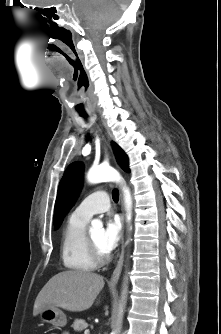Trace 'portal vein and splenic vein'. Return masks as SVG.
<instances>
[{
  "label": "portal vein and splenic vein",
  "mask_w": 221,
  "mask_h": 334,
  "mask_svg": "<svg viewBox=\"0 0 221 334\" xmlns=\"http://www.w3.org/2000/svg\"><path fill=\"white\" fill-rule=\"evenodd\" d=\"M84 334H89V330L86 329L85 332H84Z\"/></svg>",
  "instance_id": "obj_1"
}]
</instances>
